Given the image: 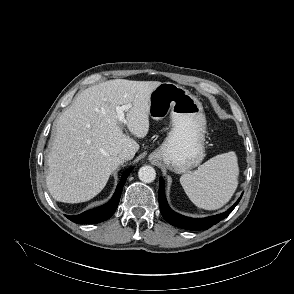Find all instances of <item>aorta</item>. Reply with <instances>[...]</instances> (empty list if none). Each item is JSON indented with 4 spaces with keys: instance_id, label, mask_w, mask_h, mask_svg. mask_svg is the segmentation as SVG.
Masks as SVG:
<instances>
[{
    "instance_id": "762f6f07",
    "label": "aorta",
    "mask_w": 294,
    "mask_h": 294,
    "mask_svg": "<svg viewBox=\"0 0 294 294\" xmlns=\"http://www.w3.org/2000/svg\"><path fill=\"white\" fill-rule=\"evenodd\" d=\"M139 179L144 183H151L156 178V171L153 167L146 165L142 166L138 172Z\"/></svg>"
}]
</instances>
